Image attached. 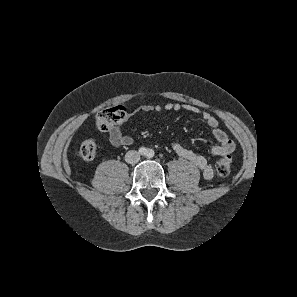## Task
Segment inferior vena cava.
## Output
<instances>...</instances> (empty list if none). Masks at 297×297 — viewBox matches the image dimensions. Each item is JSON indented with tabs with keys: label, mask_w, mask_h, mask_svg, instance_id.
Segmentation results:
<instances>
[{
	"label": "inferior vena cava",
	"mask_w": 297,
	"mask_h": 297,
	"mask_svg": "<svg viewBox=\"0 0 297 297\" xmlns=\"http://www.w3.org/2000/svg\"><path fill=\"white\" fill-rule=\"evenodd\" d=\"M140 160V153L135 150H130L125 155V161L128 164H136Z\"/></svg>",
	"instance_id": "1"
}]
</instances>
